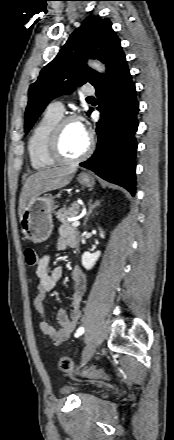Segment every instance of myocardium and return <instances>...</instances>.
I'll use <instances>...</instances> for the list:
<instances>
[{"instance_id": "myocardium-1", "label": "myocardium", "mask_w": 174, "mask_h": 440, "mask_svg": "<svg viewBox=\"0 0 174 440\" xmlns=\"http://www.w3.org/2000/svg\"><path fill=\"white\" fill-rule=\"evenodd\" d=\"M76 121L77 119L72 116L61 118L55 124V126L51 131L49 143H48V153L51 159L58 164H64V165L76 164L87 158L92 152L94 146V139L92 134L87 133L88 136L87 147L80 155L74 158H68L62 153L61 137H62L63 128L67 123L76 122Z\"/></svg>"}]
</instances>
